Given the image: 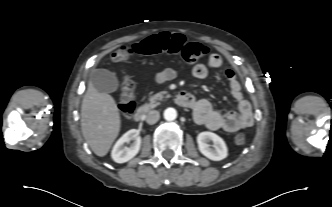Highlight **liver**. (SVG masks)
Listing matches in <instances>:
<instances>
[{
    "label": "liver",
    "mask_w": 332,
    "mask_h": 207,
    "mask_svg": "<svg viewBox=\"0 0 332 207\" xmlns=\"http://www.w3.org/2000/svg\"><path fill=\"white\" fill-rule=\"evenodd\" d=\"M121 127L119 109L114 98L99 92L90 82L81 106V130L92 151L105 156Z\"/></svg>",
    "instance_id": "obj_1"
}]
</instances>
